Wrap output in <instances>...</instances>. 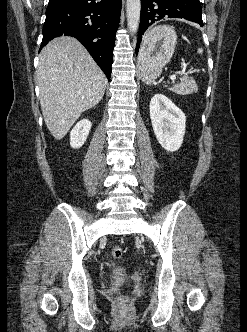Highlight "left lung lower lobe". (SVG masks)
Returning a JSON list of instances; mask_svg holds the SVG:
<instances>
[{
	"label": "left lung lower lobe",
	"instance_id": "left-lung-lower-lobe-1",
	"mask_svg": "<svg viewBox=\"0 0 247 332\" xmlns=\"http://www.w3.org/2000/svg\"><path fill=\"white\" fill-rule=\"evenodd\" d=\"M199 0H141V17L136 54L144 32L162 18H183L203 26Z\"/></svg>",
	"mask_w": 247,
	"mask_h": 332
}]
</instances>
